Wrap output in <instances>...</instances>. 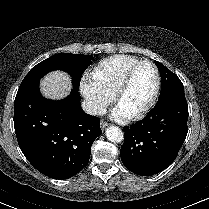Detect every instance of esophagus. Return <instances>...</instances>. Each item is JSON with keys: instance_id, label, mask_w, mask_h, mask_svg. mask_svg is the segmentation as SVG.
I'll return each mask as SVG.
<instances>
[{"instance_id": "1", "label": "esophagus", "mask_w": 209, "mask_h": 209, "mask_svg": "<svg viewBox=\"0 0 209 209\" xmlns=\"http://www.w3.org/2000/svg\"><path fill=\"white\" fill-rule=\"evenodd\" d=\"M100 125H101V129H102V130H105L106 127L108 126V123L105 122V121H101Z\"/></svg>"}]
</instances>
